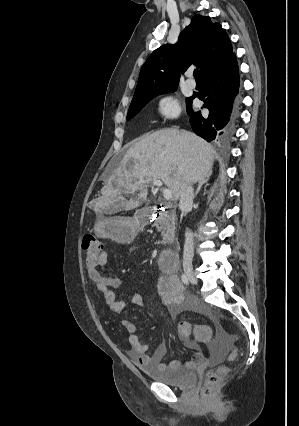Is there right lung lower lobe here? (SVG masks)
<instances>
[{
	"instance_id": "98d812e1",
	"label": "right lung lower lobe",
	"mask_w": 299,
	"mask_h": 426,
	"mask_svg": "<svg viewBox=\"0 0 299 426\" xmlns=\"http://www.w3.org/2000/svg\"><path fill=\"white\" fill-rule=\"evenodd\" d=\"M204 88L196 96L204 101L209 115L203 117L192 110L190 97L187 112L193 131L207 140L225 137L229 134L236 113L234 99L238 94L239 74L235 54L222 67L206 73L202 77Z\"/></svg>"
}]
</instances>
